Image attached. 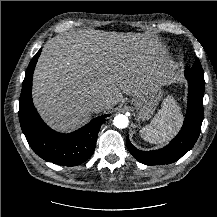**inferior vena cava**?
Segmentation results:
<instances>
[{
    "mask_svg": "<svg viewBox=\"0 0 217 217\" xmlns=\"http://www.w3.org/2000/svg\"><path fill=\"white\" fill-rule=\"evenodd\" d=\"M107 100H95L89 104V109L92 113H98L104 110Z\"/></svg>",
    "mask_w": 217,
    "mask_h": 217,
    "instance_id": "obj_1",
    "label": "inferior vena cava"
}]
</instances>
